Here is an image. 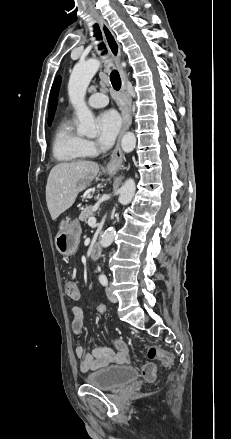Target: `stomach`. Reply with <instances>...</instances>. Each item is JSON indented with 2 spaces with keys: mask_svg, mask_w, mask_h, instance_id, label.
Wrapping results in <instances>:
<instances>
[{
  "mask_svg": "<svg viewBox=\"0 0 231 439\" xmlns=\"http://www.w3.org/2000/svg\"><path fill=\"white\" fill-rule=\"evenodd\" d=\"M113 175V172H109ZM81 235V227L78 221L66 219L61 221L59 231L55 238V246L63 256H72L77 252Z\"/></svg>",
  "mask_w": 231,
  "mask_h": 439,
  "instance_id": "stomach-1",
  "label": "stomach"
}]
</instances>
